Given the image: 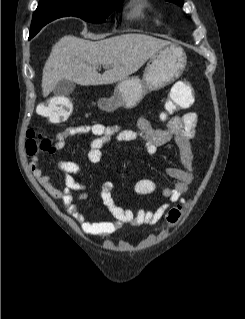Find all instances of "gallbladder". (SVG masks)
Wrapping results in <instances>:
<instances>
[{"label":"gallbladder","instance_id":"bac80fb5","mask_svg":"<svg viewBox=\"0 0 245 319\" xmlns=\"http://www.w3.org/2000/svg\"><path fill=\"white\" fill-rule=\"evenodd\" d=\"M75 89V83L70 80L62 79L54 87L53 93L57 96H68Z\"/></svg>","mask_w":245,"mask_h":319}]
</instances>
